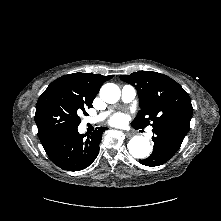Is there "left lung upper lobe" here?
I'll return each instance as SVG.
<instances>
[{
    "instance_id": "obj_1",
    "label": "left lung upper lobe",
    "mask_w": 221,
    "mask_h": 221,
    "mask_svg": "<svg viewBox=\"0 0 221 221\" xmlns=\"http://www.w3.org/2000/svg\"><path fill=\"white\" fill-rule=\"evenodd\" d=\"M120 79L133 85L139 96L140 111L131 123L136 128L151 124L188 133L193 114L187 92L170 77L151 71L121 75Z\"/></svg>"
}]
</instances>
